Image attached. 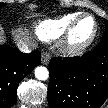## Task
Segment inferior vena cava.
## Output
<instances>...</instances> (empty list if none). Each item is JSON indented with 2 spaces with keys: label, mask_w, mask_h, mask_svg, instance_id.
I'll return each mask as SVG.
<instances>
[{
  "label": "inferior vena cava",
  "mask_w": 108,
  "mask_h": 108,
  "mask_svg": "<svg viewBox=\"0 0 108 108\" xmlns=\"http://www.w3.org/2000/svg\"><path fill=\"white\" fill-rule=\"evenodd\" d=\"M18 49L23 53H30L32 49L37 47V43L35 42H23L20 41L17 43Z\"/></svg>",
  "instance_id": "602c4592"
}]
</instances>
